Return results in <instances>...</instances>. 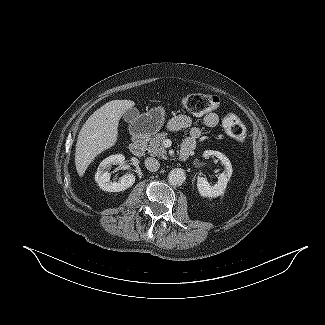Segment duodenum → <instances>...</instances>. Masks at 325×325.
Listing matches in <instances>:
<instances>
[{"instance_id": "410a0bca", "label": "duodenum", "mask_w": 325, "mask_h": 325, "mask_svg": "<svg viewBox=\"0 0 325 325\" xmlns=\"http://www.w3.org/2000/svg\"><path fill=\"white\" fill-rule=\"evenodd\" d=\"M129 150L132 154L136 156H141L145 153L146 150V138L142 134H136L133 137V141L129 146ZM194 147L191 145H183L180 153L179 158L182 161H186L190 155L192 154Z\"/></svg>"}]
</instances>
